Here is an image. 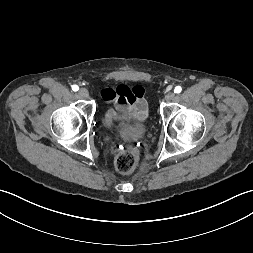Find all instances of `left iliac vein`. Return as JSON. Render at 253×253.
Listing matches in <instances>:
<instances>
[{
    "mask_svg": "<svg viewBox=\"0 0 253 253\" xmlns=\"http://www.w3.org/2000/svg\"><path fill=\"white\" fill-rule=\"evenodd\" d=\"M175 94L173 92H169L165 95V101L170 102L174 99Z\"/></svg>",
    "mask_w": 253,
    "mask_h": 253,
    "instance_id": "4c4485c4",
    "label": "left iliac vein"
}]
</instances>
